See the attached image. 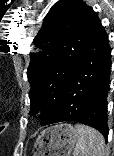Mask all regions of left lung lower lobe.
Instances as JSON below:
<instances>
[{"label": "left lung lower lobe", "instance_id": "0a47b994", "mask_svg": "<svg viewBox=\"0 0 114 156\" xmlns=\"http://www.w3.org/2000/svg\"><path fill=\"white\" fill-rule=\"evenodd\" d=\"M110 69L111 48L97 20L69 79L62 105L47 124L77 121L97 129L107 140L106 96Z\"/></svg>", "mask_w": 114, "mask_h": 156}]
</instances>
